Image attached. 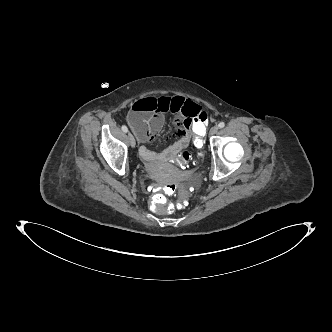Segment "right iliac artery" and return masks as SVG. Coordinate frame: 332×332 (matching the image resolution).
<instances>
[{
  "mask_svg": "<svg viewBox=\"0 0 332 332\" xmlns=\"http://www.w3.org/2000/svg\"><path fill=\"white\" fill-rule=\"evenodd\" d=\"M121 129H122V131L125 132V133L128 132V128H127V126H125V125H123V126L121 127Z\"/></svg>",
  "mask_w": 332,
  "mask_h": 332,
  "instance_id": "1",
  "label": "right iliac artery"
}]
</instances>
